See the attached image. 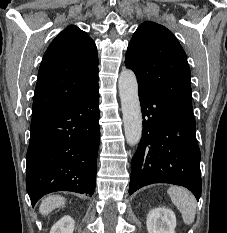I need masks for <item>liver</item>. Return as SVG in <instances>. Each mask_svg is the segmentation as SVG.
Instances as JSON below:
<instances>
[{"instance_id": "6515ba94", "label": "liver", "mask_w": 227, "mask_h": 233, "mask_svg": "<svg viewBox=\"0 0 227 233\" xmlns=\"http://www.w3.org/2000/svg\"><path fill=\"white\" fill-rule=\"evenodd\" d=\"M65 204V198L59 195H51L44 198L40 204L39 211L46 216L54 209L59 208Z\"/></svg>"}]
</instances>
